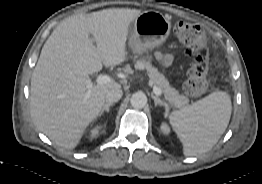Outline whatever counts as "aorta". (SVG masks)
Returning <instances> with one entry per match:
<instances>
[{"mask_svg":"<svg viewBox=\"0 0 262 184\" xmlns=\"http://www.w3.org/2000/svg\"><path fill=\"white\" fill-rule=\"evenodd\" d=\"M130 104L136 109H141L147 104V97L143 92H136L130 98Z\"/></svg>","mask_w":262,"mask_h":184,"instance_id":"1","label":"aorta"}]
</instances>
